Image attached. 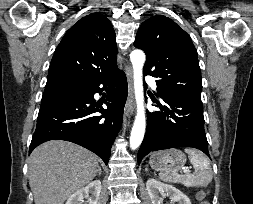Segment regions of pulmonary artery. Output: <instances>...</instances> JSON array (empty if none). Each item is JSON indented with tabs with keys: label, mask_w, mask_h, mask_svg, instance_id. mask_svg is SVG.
<instances>
[{
	"label": "pulmonary artery",
	"mask_w": 253,
	"mask_h": 204,
	"mask_svg": "<svg viewBox=\"0 0 253 204\" xmlns=\"http://www.w3.org/2000/svg\"><path fill=\"white\" fill-rule=\"evenodd\" d=\"M145 81L148 85L152 86L153 88H156V82H155V79L153 77L147 76Z\"/></svg>",
	"instance_id": "pulmonary-artery-1"
}]
</instances>
